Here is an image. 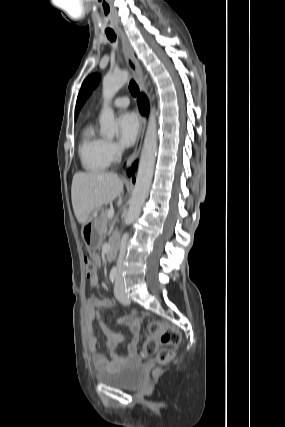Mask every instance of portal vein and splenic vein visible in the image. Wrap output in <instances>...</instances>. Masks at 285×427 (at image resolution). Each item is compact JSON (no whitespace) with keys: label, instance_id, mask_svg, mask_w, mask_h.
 Returning <instances> with one entry per match:
<instances>
[{"label":"portal vein and splenic vein","instance_id":"obj_1","mask_svg":"<svg viewBox=\"0 0 285 427\" xmlns=\"http://www.w3.org/2000/svg\"><path fill=\"white\" fill-rule=\"evenodd\" d=\"M113 215H114V209H110L108 212V218L112 219Z\"/></svg>","mask_w":285,"mask_h":427}]
</instances>
